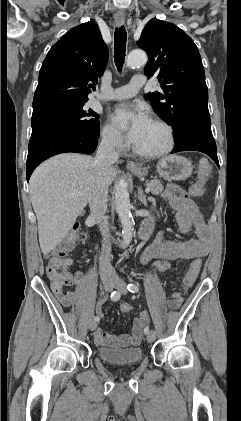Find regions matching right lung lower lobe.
<instances>
[{"mask_svg": "<svg viewBox=\"0 0 241 421\" xmlns=\"http://www.w3.org/2000/svg\"><path fill=\"white\" fill-rule=\"evenodd\" d=\"M97 144L98 138L67 128L53 127L32 133L27 156V181L34 169L44 160L66 152L91 154Z\"/></svg>", "mask_w": 241, "mask_h": 421, "instance_id": "98d812e1", "label": "right lung lower lobe"}]
</instances>
